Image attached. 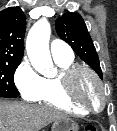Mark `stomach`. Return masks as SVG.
I'll list each match as a JSON object with an SVG mask.
<instances>
[{
  "mask_svg": "<svg viewBox=\"0 0 117 131\" xmlns=\"http://www.w3.org/2000/svg\"><path fill=\"white\" fill-rule=\"evenodd\" d=\"M78 129V124L70 118L55 120L51 127V131H78Z\"/></svg>",
  "mask_w": 117,
  "mask_h": 131,
  "instance_id": "stomach-1",
  "label": "stomach"
}]
</instances>
